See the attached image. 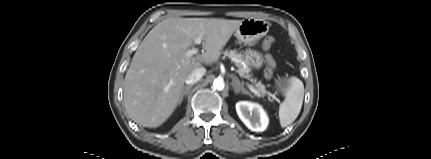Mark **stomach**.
Wrapping results in <instances>:
<instances>
[{
  "label": "stomach",
  "instance_id": "1",
  "mask_svg": "<svg viewBox=\"0 0 431 159\" xmlns=\"http://www.w3.org/2000/svg\"><path fill=\"white\" fill-rule=\"evenodd\" d=\"M269 31V22L260 18L243 19L236 28L234 36L241 43L248 46L255 45ZM245 61L250 67L259 69L264 62L263 55L254 49H248L244 54ZM276 87L280 92H287L292 88V80L281 78L276 81Z\"/></svg>",
  "mask_w": 431,
  "mask_h": 159
}]
</instances>
